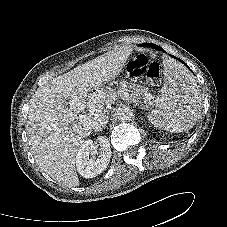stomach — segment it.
<instances>
[{"instance_id":"stomach-1","label":"stomach","mask_w":227,"mask_h":227,"mask_svg":"<svg viewBox=\"0 0 227 227\" xmlns=\"http://www.w3.org/2000/svg\"><path fill=\"white\" fill-rule=\"evenodd\" d=\"M117 91V86L115 83L103 82L99 86L94 87L90 91V95L92 98L97 99L99 97H103L106 94L115 93Z\"/></svg>"}]
</instances>
